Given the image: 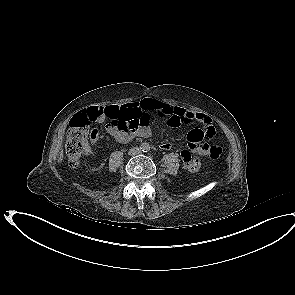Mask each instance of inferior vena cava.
<instances>
[{
    "instance_id": "obj_1",
    "label": "inferior vena cava",
    "mask_w": 295,
    "mask_h": 295,
    "mask_svg": "<svg viewBox=\"0 0 295 295\" xmlns=\"http://www.w3.org/2000/svg\"><path fill=\"white\" fill-rule=\"evenodd\" d=\"M140 152V149L138 147H134L132 149H130L129 154L130 155H136Z\"/></svg>"
}]
</instances>
